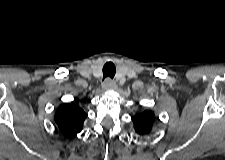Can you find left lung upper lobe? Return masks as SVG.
Returning <instances> with one entry per match:
<instances>
[{"instance_id":"1","label":"left lung upper lobe","mask_w":225,"mask_h":160,"mask_svg":"<svg viewBox=\"0 0 225 160\" xmlns=\"http://www.w3.org/2000/svg\"><path fill=\"white\" fill-rule=\"evenodd\" d=\"M154 120V113L152 111L147 110L135 117H132L135 132L139 135H145L150 133Z\"/></svg>"}]
</instances>
